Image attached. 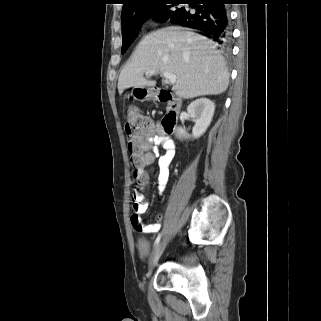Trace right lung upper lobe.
Masks as SVG:
<instances>
[{
	"mask_svg": "<svg viewBox=\"0 0 321 321\" xmlns=\"http://www.w3.org/2000/svg\"><path fill=\"white\" fill-rule=\"evenodd\" d=\"M123 1H124V4L121 12V17L136 13L141 9L147 6L153 5L156 2H159L162 0H123Z\"/></svg>",
	"mask_w": 321,
	"mask_h": 321,
	"instance_id": "obj_1",
	"label": "right lung upper lobe"
}]
</instances>
